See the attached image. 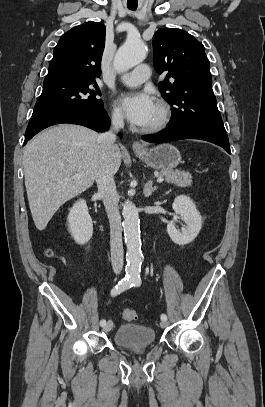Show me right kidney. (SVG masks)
Returning a JSON list of instances; mask_svg holds the SVG:
<instances>
[{"mask_svg": "<svg viewBox=\"0 0 265 407\" xmlns=\"http://www.w3.org/2000/svg\"><path fill=\"white\" fill-rule=\"evenodd\" d=\"M69 232L79 245L86 244L93 234V223L85 200L77 201L67 217Z\"/></svg>", "mask_w": 265, "mask_h": 407, "instance_id": "ca27d5eb", "label": "right kidney"}]
</instances>
